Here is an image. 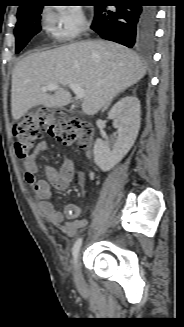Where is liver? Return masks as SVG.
<instances>
[{"label":"liver","mask_w":184,"mask_h":327,"mask_svg":"<svg viewBox=\"0 0 184 327\" xmlns=\"http://www.w3.org/2000/svg\"><path fill=\"white\" fill-rule=\"evenodd\" d=\"M146 74L132 50L100 39L86 40L21 59L12 73L11 112L20 119L35 106L61 108L71 102L69 91L42 92L49 84L84 89L82 111L95 115L116 95L136 84Z\"/></svg>","instance_id":"1"}]
</instances>
